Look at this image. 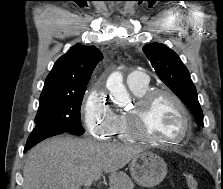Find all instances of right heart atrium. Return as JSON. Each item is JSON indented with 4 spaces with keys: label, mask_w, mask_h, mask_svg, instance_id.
<instances>
[{
    "label": "right heart atrium",
    "mask_w": 223,
    "mask_h": 189,
    "mask_svg": "<svg viewBox=\"0 0 223 189\" xmlns=\"http://www.w3.org/2000/svg\"><path fill=\"white\" fill-rule=\"evenodd\" d=\"M81 113L90 135L102 140L110 138L113 134L116 114L100 87H94L87 93L82 103Z\"/></svg>",
    "instance_id": "d8ad5b80"
}]
</instances>
